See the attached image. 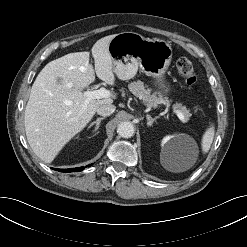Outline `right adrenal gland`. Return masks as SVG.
Instances as JSON below:
<instances>
[{"instance_id":"1","label":"right adrenal gland","mask_w":247,"mask_h":247,"mask_svg":"<svg viewBox=\"0 0 247 247\" xmlns=\"http://www.w3.org/2000/svg\"><path fill=\"white\" fill-rule=\"evenodd\" d=\"M105 117H101V118H97L96 121L92 122L89 126H88V129L91 128L93 125H96L95 126V129L93 132H96L100 126V123L102 120H104Z\"/></svg>"}]
</instances>
